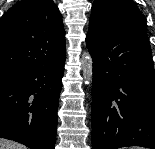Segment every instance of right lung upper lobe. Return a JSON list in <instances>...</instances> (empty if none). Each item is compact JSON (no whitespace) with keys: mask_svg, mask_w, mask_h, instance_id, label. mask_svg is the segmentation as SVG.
Wrapping results in <instances>:
<instances>
[{"mask_svg":"<svg viewBox=\"0 0 155 149\" xmlns=\"http://www.w3.org/2000/svg\"><path fill=\"white\" fill-rule=\"evenodd\" d=\"M65 54L62 16L52 0L17 1L0 20V72L23 73Z\"/></svg>","mask_w":155,"mask_h":149,"instance_id":"obj_1","label":"right lung upper lobe"}]
</instances>
